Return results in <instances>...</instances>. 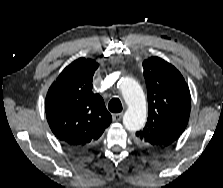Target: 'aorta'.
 I'll return each instance as SVG.
<instances>
[{
  "label": "aorta",
  "instance_id": "762f6f07",
  "mask_svg": "<svg viewBox=\"0 0 223 188\" xmlns=\"http://www.w3.org/2000/svg\"><path fill=\"white\" fill-rule=\"evenodd\" d=\"M128 108L123 117V125L129 131H138L144 127L147 118L145 95L140 85L132 78H122L119 81Z\"/></svg>",
  "mask_w": 223,
  "mask_h": 188
}]
</instances>
